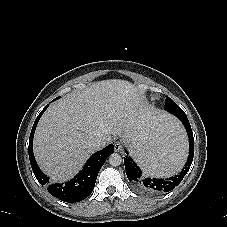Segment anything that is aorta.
Listing matches in <instances>:
<instances>
[{
  "mask_svg": "<svg viewBox=\"0 0 227 227\" xmlns=\"http://www.w3.org/2000/svg\"><path fill=\"white\" fill-rule=\"evenodd\" d=\"M109 163L110 165L116 167L122 163V157L118 153H113L109 156Z\"/></svg>",
  "mask_w": 227,
  "mask_h": 227,
  "instance_id": "1",
  "label": "aorta"
}]
</instances>
